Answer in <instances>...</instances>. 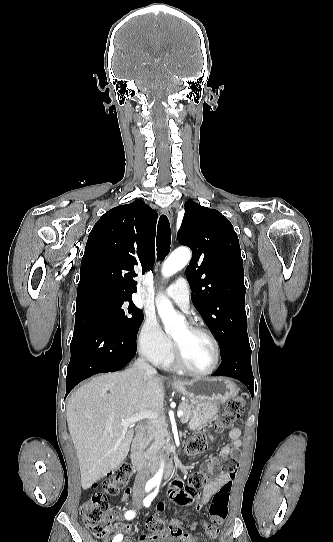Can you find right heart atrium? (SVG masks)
<instances>
[{
    "mask_svg": "<svg viewBox=\"0 0 333 542\" xmlns=\"http://www.w3.org/2000/svg\"><path fill=\"white\" fill-rule=\"evenodd\" d=\"M137 344L139 352L147 358H156L170 349V339L153 316H147L143 320L138 331Z\"/></svg>",
    "mask_w": 333,
    "mask_h": 542,
    "instance_id": "obj_1",
    "label": "right heart atrium"
}]
</instances>
